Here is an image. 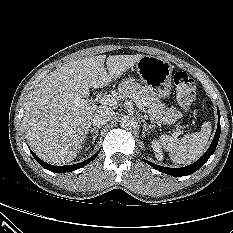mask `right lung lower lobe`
<instances>
[{"mask_svg": "<svg viewBox=\"0 0 233 233\" xmlns=\"http://www.w3.org/2000/svg\"><path fill=\"white\" fill-rule=\"evenodd\" d=\"M30 152L32 153V155L34 156V158L37 160V162L44 167L47 170H50L52 172L55 173H63V172H70V171H74L76 169H79L83 166H85L86 164H88L89 162H91L94 158H96V156L98 155L99 152H97L96 154H94L93 156H91L89 159L81 162V163H77L74 165H66V166H52L50 164L45 163L44 161H42L41 159H39L31 150Z\"/></svg>", "mask_w": 233, "mask_h": 233, "instance_id": "1", "label": "right lung lower lobe"}]
</instances>
